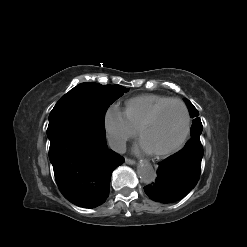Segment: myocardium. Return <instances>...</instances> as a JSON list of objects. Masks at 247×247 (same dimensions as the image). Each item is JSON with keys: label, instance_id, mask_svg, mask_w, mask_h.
Masks as SVG:
<instances>
[{"label": "myocardium", "instance_id": "myocardium-1", "mask_svg": "<svg viewBox=\"0 0 247 247\" xmlns=\"http://www.w3.org/2000/svg\"><path fill=\"white\" fill-rule=\"evenodd\" d=\"M173 103L179 104L182 107L183 111H184V116H185L184 130H183V133H182L181 137L179 138V140L173 146H171V147H169V148H167L165 150L152 152L153 155L156 156V157H164V156H168V155L176 152L178 149L181 148V146L186 141V139H187V137L189 135V132H190V127H191V116H190V112H189V109H188L187 105L180 99L171 98V99L161 103L160 105H158L151 112V114L144 120V122L140 125V127L137 130L138 136L141 138V135H142L143 131L154 123V121L156 120V118L158 117L160 112L166 106H168L170 104H173Z\"/></svg>", "mask_w": 247, "mask_h": 247}]
</instances>
